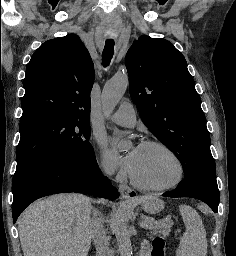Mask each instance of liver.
<instances>
[{
  "mask_svg": "<svg viewBox=\"0 0 236 256\" xmlns=\"http://www.w3.org/2000/svg\"><path fill=\"white\" fill-rule=\"evenodd\" d=\"M91 214L90 198L82 194H55L34 202L18 220L24 256H88Z\"/></svg>",
  "mask_w": 236,
  "mask_h": 256,
  "instance_id": "1",
  "label": "liver"
}]
</instances>
